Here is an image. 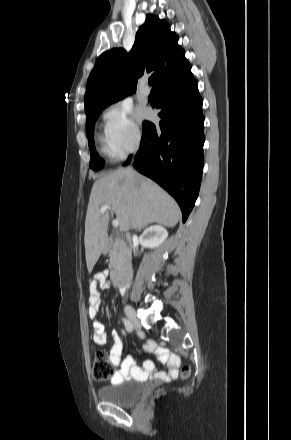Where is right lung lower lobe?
Returning <instances> with one entry per match:
<instances>
[{
    "mask_svg": "<svg viewBox=\"0 0 291 440\" xmlns=\"http://www.w3.org/2000/svg\"><path fill=\"white\" fill-rule=\"evenodd\" d=\"M154 90L161 121L158 125L144 121L134 165L175 198L185 222L198 197L203 171L202 98L190 65Z\"/></svg>",
    "mask_w": 291,
    "mask_h": 440,
    "instance_id": "right-lung-lower-lobe-1",
    "label": "right lung lower lobe"
}]
</instances>
